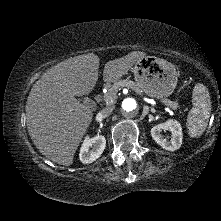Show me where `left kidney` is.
<instances>
[{
  "instance_id": "obj_1",
  "label": "left kidney",
  "mask_w": 221,
  "mask_h": 221,
  "mask_svg": "<svg viewBox=\"0 0 221 221\" xmlns=\"http://www.w3.org/2000/svg\"><path fill=\"white\" fill-rule=\"evenodd\" d=\"M162 130L171 132V140H168L161 134ZM151 136L163 149L168 151H175L182 145L183 135L181 124L176 120L169 119L165 123L154 126L151 129Z\"/></svg>"
}]
</instances>
